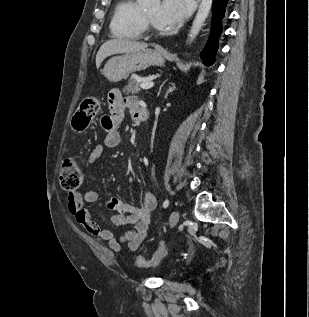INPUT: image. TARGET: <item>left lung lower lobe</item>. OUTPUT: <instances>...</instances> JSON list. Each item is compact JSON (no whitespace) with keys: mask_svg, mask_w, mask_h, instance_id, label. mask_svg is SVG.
<instances>
[{"mask_svg":"<svg viewBox=\"0 0 309 317\" xmlns=\"http://www.w3.org/2000/svg\"><path fill=\"white\" fill-rule=\"evenodd\" d=\"M229 0H214L211 31L207 44L201 52L204 64L210 66L214 63V54L218 49V39L222 32V23L228 12Z\"/></svg>","mask_w":309,"mask_h":317,"instance_id":"0a47b994","label":"left lung lower lobe"}]
</instances>
